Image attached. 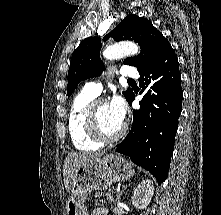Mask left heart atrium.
Masks as SVG:
<instances>
[{
    "instance_id": "obj_1",
    "label": "left heart atrium",
    "mask_w": 221,
    "mask_h": 215,
    "mask_svg": "<svg viewBox=\"0 0 221 215\" xmlns=\"http://www.w3.org/2000/svg\"><path fill=\"white\" fill-rule=\"evenodd\" d=\"M109 107L115 119L123 123L126 115V107L123 99L119 96H115L109 103Z\"/></svg>"
}]
</instances>
